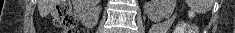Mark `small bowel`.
I'll return each instance as SVG.
<instances>
[{
	"label": "small bowel",
	"instance_id": "c3829d8e",
	"mask_svg": "<svg viewBox=\"0 0 235 33\" xmlns=\"http://www.w3.org/2000/svg\"><path fill=\"white\" fill-rule=\"evenodd\" d=\"M174 21V17H170L166 19L163 22L155 24L151 30L150 33H167Z\"/></svg>",
	"mask_w": 235,
	"mask_h": 33
}]
</instances>
